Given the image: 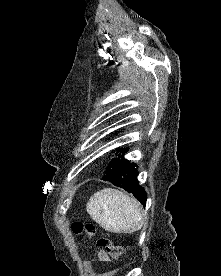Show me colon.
<instances>
[{
	"instance_id": "obj_1",
	"label": "colon",
	"mask_w": 221,
	"mask_h": 276,
	"mask_svg": "<svg viewBox=\"0 0 221 276\" xmlns=\"http://www.w3.org/2000/svg\"><path fill=\"white\" fill-rule=\"evenodd\" d=\"M72 231L76 235H85L88 238H93L96 235V227L92 223L74 222L71 226ZM96 246L105 251L112 259H118L122 254V248L114 244L107 237H99L96 241Z\"/></svg>"
}]
</instances>
